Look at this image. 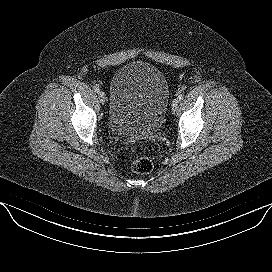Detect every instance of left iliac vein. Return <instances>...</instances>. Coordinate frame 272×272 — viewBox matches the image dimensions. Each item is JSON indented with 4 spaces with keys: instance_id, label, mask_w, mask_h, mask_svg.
Returning a JSON list of instances; mask_svg holds the SVG:
<instances>
[{
    "instance_id": "left-iliac-vein-1",
    "label": "left iliac vein",
    "mask_w": 272,
    "mask_h": 272,
    "mask_svg": "<svg viewBox=\"0 0 272 272\" xmlns=\"http://www.w3.org/2000/svg\"><path fill=\"white\" fill-rule=\"evenodd\" d=\"M179 106V99L176 98L172 101V111H176L178 109Z\"/></svg>"
}]
</instances>
